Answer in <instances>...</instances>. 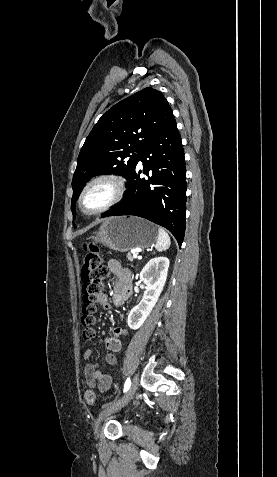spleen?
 Listing matches in <instances>:
<instances>
[{"mask_svg": "<svg viewBox=\"0 0 277 477\" xmlns=\"http://www.w3.org/2000/svg\"><path fill=\"white\" fill-rule=\"evenodd\" d=\"M170 244H171V240L169 235L163 228L159 227L158 238H157V242L155 246L156 250L159 252L165 251L170 247Z\"/></svg>", "mask_w": 277, "mask_h": 477, "instance_id": "spleen-1", "label": "spleen"}]
</instances>
